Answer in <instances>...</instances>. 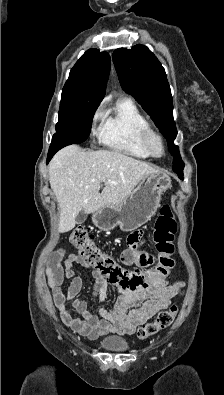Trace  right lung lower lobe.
<instances>
[{
    "instance_id": "98d812e1",
    "label": "right lung lower lobe",
    "mask_w": 224,
    "mask_h": 395,
    "mask_svg": "<svg viewBox=\"0 0 224 395\" xmlns=\"http://www.w3.org/2000/svg\"><path fill=\"white\" fill-rule=\"evenodd\" d=\"M71 143L69 142H64V143H59V142H55L52 141L50 148H49V152H48V158H47V163L51 160V158L53 157V155L60 150L61 148L70 145Z\"/></svg>"
}]
</instances>
